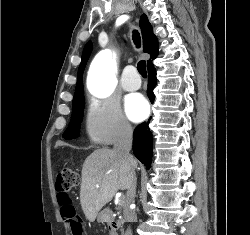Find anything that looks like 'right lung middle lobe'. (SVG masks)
<instances>
[{"label": "right lung middle lobe", "mask_w": 250, "mask_h": 235, "mask_svg": "<svg viewBox=\"0 0 250 235\" xmlns=\"http://www.w3.org/2000/svg\"><path fill=\"white\" fill-rule=\"evenodd\" d=\"M84 109V96L83 93L74 97L73 99V112L70 124L63 134L66 139L76 138L79 134L81 120Z\"/></svg>", "instance_id": "1"}]
</instances>
